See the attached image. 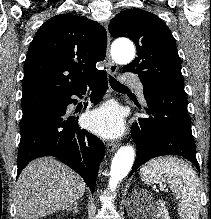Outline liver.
<instances>
[{
	"instance_id": "obj_1",
	"label": "liver",
	"mask_w": 211,
	"mask_h": 219,
	"mask_svg": "<svg viewBox=\"0 0 211 219\" xmlns=\"http://www.w3.org/2000/svg\"><path fill=\"white\" fill-rule=\"evenodd\" d=\"M85 189L83 179L59 160H33L17 180V219H38L67 209L84 195Z\"/></svg>"
}]
</instances>
